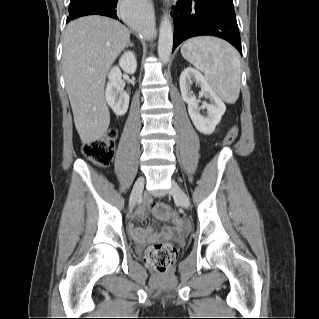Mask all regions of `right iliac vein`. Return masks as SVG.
I'll list each match as a JSON object with an SVG mask.
<instances>
[{
  "label": "right iliac vein",
  "mask_w": 319,
  "mask_h": 319,
  "mask_svg": "<svg viewBox=\"0 0 319 319\" xmlns=\"http://www.w3.org/2000/svg\"><path fill=\"white\" fill-rule=\"evenodd\" d=\"M144 187V178L140 177L137 179V181L134 184V187L132 189L131 195H130V207L134 208L139 196L141 195Z\"/></svg>",
  "instance_id": "obj_1"
}]
</instances>
